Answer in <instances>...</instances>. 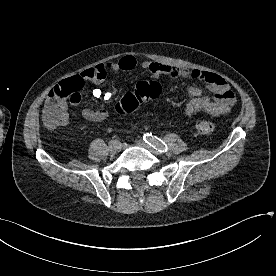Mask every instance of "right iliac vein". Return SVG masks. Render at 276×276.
<instances>
[{
  "mask_svg": "<svg viewBox=\"0 0 276 276\" xmlns=\"http://www.w3.org/2000/svg\"><path fill=\"white\" fill-rule=\"evenodd\" d=\"M121 150V145H109L110 154L114 155Z\"/></svg>",
  "mask_w": 276,
  "mask_h": 276,
  "instance_id": "1",
  "label": "right iliac vein"
}]
</instances>
